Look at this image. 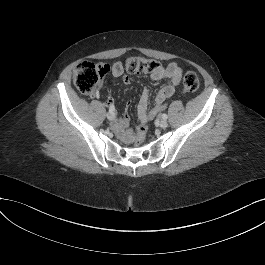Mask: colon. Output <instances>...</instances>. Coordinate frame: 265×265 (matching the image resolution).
Segmentation results:
<instances>
[{
    "instance_id": "colon-1",
    "label": "colon",
    "mask_w": 265,
    "mask_h": 265,
    "mask_svg": "<svg viewBox=\"0 0 265 265\" xmlns=\"http://www.w3.org/2000/svg\"><path fill=\"white\" fill-rule=\"evenodd\" d=\"M160 67L155 59L143 57H130L125 61V69L130 74L152 73ZM77 88L85 94L91 93L100 79V72L95 64L84 61L79 63L73 75ZM200 86L199 78L193 71H187L182 78V89L184 92H194ZM164 104L155 105L149 112L145 113L141 123L136 127L135 145L140 147L144 144L147 133V124L164 109Z\"/></svg>"
}]
</instances>
